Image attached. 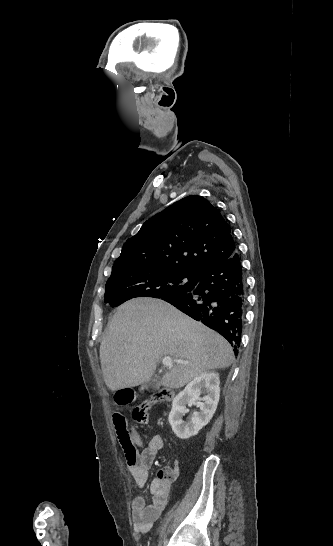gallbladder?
I'll return each instance as SVG.
<instances>
[{
  "label": "gallbladder",
  "instance_id": "obj_1",
  "mask_svg": "<svg viewBox=\"0 0 333 546\" xmlns=\"http://www.w3.org/2000/svg\"><path fill=\"white\" fill-rule=\"evenodd\" d=\"M160 387V380L158 378H152L146 383L147 390H157Z\"/></svg>",
  "mask_w": 333,
  "mask_h": 546
}]
</instances>
